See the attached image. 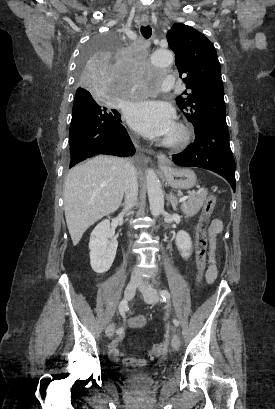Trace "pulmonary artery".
Wrapping results in <instances>:
<instances>
[{"label": "pulmonary artery", "mask_w": 275, "mask_h": 409, "mask_svg": "<svg viewBox=\"0 0 275 409\" xmlns=\"http://www.w3.org/2000/svg\"><path fill=\"white\" fill-rule=\"evenodd\" d=\"M176 85H177V82H176L174 76L171 75V74H170V75H167V76H166V79H163V80H162V87H163V88H175ZM137 90H138V87H137V86H132V87H131V93H132V94H136V93H137Z\"/></svg>", "instance_id": "1"}]
</instances>
